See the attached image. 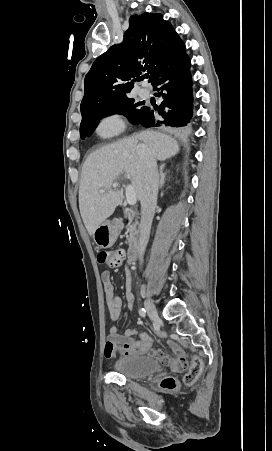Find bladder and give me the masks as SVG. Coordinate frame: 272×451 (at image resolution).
I'll return each mask as SVG.
<instances>
[{
	"label": "bladder",
	"instance_id": "1",
	"mask_svg": "<svg viewBox=\"0 0 272 451\" xmlns=\"http://www.w3.org/2000/svg\"><path fill=\"white\" fill-rule=\"evenodd\" d=\"M161 367L160 362L148 355H125L113 360L112 368L118 376L142 380L150 375L157 374Z\"/></svg>",
	"mask_w": 272,
	"mask_h": 451
}]
</instances>
